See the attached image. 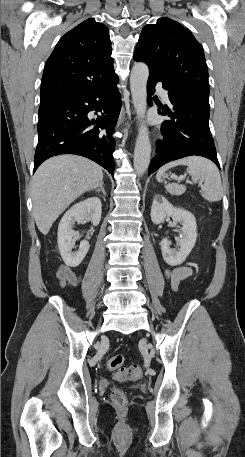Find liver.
I'll list each match as a JSON object with an SVG mask.
<instances>
[{
	"label": "liver",
	"mask_w": 245,
	"mask_h": 457,
	"mask_svg": "<svg viewBox=\"0 0 245 457\" xmlns=\"http://www.w3.org/2000/svg\"><path fill=\"white\" fill-rule=\"evenodd\" d=\"M102 180V166L77 154L52 156L40 164L32 182L33 216L40 233L48 235L59 214Z\"/></svg>",
	"instance_id": "liver-1"
}]
</instances>
